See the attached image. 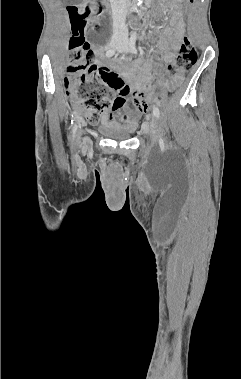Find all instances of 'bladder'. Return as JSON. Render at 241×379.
Listing matches in <instances>:
<instances>
[{
	"instance_id": "obj_1",
	"label": "bladder",
	"mask_w": 241,
	"mask_h": 379,
	"mask_svg": "<svg viewBox=\"0 0 241 379\" xmlns=\"http://www.w3.org/2000/svg\"><path fill=\"white\" fill-rule=\"evenodd\" d=\"M101 131L105 135L117 140H125L130 138L132 135V131L129 128L114 122H107L104 124L101 127Z\"/></svg>"
}]
</instances>
